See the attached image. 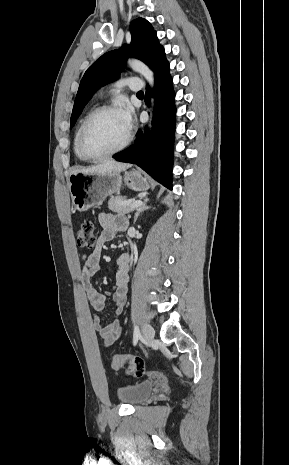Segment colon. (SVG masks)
<instances>
[{
	"label": "colon",
	"mask_w": 289,
	"mask_h": 465,
	"mask_svg": "<svg viewBox=\"0 0 289 465\" xmlns=\"http://www.w3.org/2000/svg\"><path fill=\"white\" fill-rule=\"evenodd\" d=\"M97 239L95 235L94 224L90 220H84L77 233V244L83 248H93ZM111 366L114 369H120L126 366L127 373L135 377H141L144 374V364L139 358H134L126 363L123 356H114L111 359Z\"/></svg>",
	"instance_id": "5ec220e1"
}]
</instances>
